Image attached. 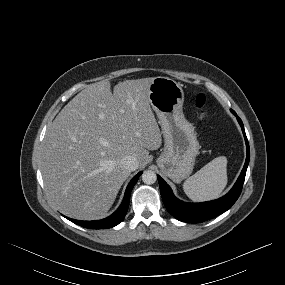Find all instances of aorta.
I'll list each match as a JSON object with an SVG mask.
<instances>
[{
  "mask_svg": "<svg viewBox=\"0 0 285 285\" xmlns=\"http://www.w3.org/2000/svg\"><path fill=\"white\" fill-rule=\"evenodd\" d=\"M141 178H142V181L148 185L155 183L157 180L156 173L152 170L144 171Z\"/></svg>",
  "mask_w": 285,
  "mask_h": 285,
  "instance_id": "1",
  "label": "aorta"
}]
</instances>
